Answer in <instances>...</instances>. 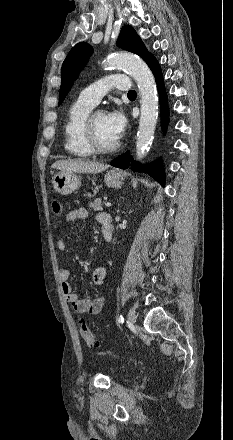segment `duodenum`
Masks as SVG:
<instances>
[{
    "label": "duodenum",
    "instance_id": "obj_1",
    "mask_svg": "<svg viewBox=\"0 0 233 440\" xmlns=\"http://www.w3.org/2000/svg\"><path fill=\"white\" fill-rule=\"evenodd\" d=\"M102 234L105 241L110 242L113 237V224L111 216H106L102 220Z\"/></svg>",
    "mask_w": 233,
    "mask_h": 440
}]
</instances>
